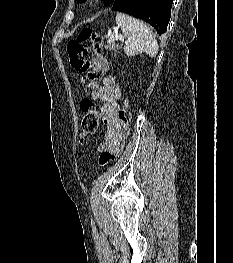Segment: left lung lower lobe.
I'll use <instances>...</instances> for the list:
<instances>
[{
	"label": "left lung lower lobe",
	"instance_id": "0a47b994",
	"mask_svg": "<svg viewBox=\"0 0 233 263\" xmlns=\"http://www.w3.org/2000/svg\"><path fill=\"white\" fill-rule=\"evenodd\" d=\"M172 3L173 0H115L112 10L142 19L163 34L170 21Z\"/></svg>",
	"mask_w": 233,
	"mask_h": 263
}]
</instances>
